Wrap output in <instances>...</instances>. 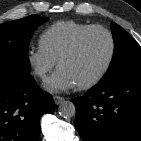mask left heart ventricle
I'll use <instances>...</instances> for the list:
<instances>
[{
    "label": "left heart ventricle",
    "instance_id": "b2bd125f",
    "mask_svg": "<svg viewBox=\"0 0 141 141\" xmlns=\"http://www.w3.org/2000/svg\"><path fill=\"white\" fill-rule=\"evenodd\" d=\"M110 51L108 36L102 31L89 33L77 51L62 61L59 68L66 70L76 84L93 78L104 66Z\"/></svg>",
    "mask_w": 141,
    "mask_h": 141
}]
</instances>
